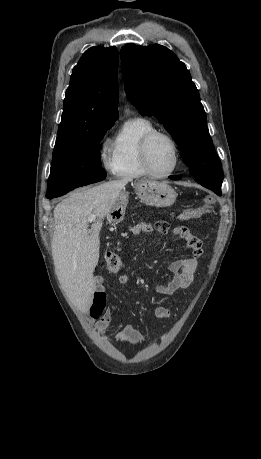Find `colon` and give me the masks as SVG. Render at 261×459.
<instances>
[{
  "label": "colon",
  "instance_id": "1",
  "mask_svg": "<svg viewBox=\"0 0 261 459\" xmlns=\"http://www.w3.org/2000/svg\"><path fill=\"white\" fill-rule=\"evenodd\" d=\"M214 204L215 198L211 195H206L199 205L182 210L179 213V217L183 220L197 219L204 214L211 213ZM154 227L162 233L169 230V225L165 221H156ZM103 266L107 272L117 273L122 268L121 258L115 253H109L104 258ZM104 307L105 297L103 295H95L89 310L90 315L93 318H98L103 313Z\"/></svg>",
  "mask_w": 261,
  "mask_h": 459
}]
</instances>
